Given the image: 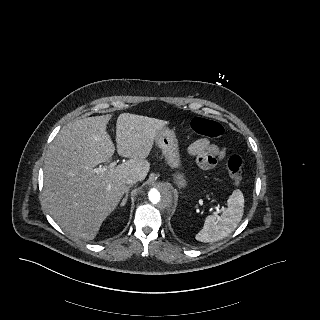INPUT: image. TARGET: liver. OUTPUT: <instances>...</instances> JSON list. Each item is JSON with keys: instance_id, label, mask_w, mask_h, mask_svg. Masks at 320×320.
Wrapping results in <instances>:
<instances>
[{"instance_id": "1", "label": "liver", "mask_w": 320, "mask_h": 320, "mask_svg": "<svg viewBox=\"0 0 320 320\" xmlns=\"http://www.w3.org/2000/svg\"><path fill=\"white\" fill-rule=\"evenodd\" d=\"M112 115L76 119L65 125L45 158L44 203L57 224L70 235L93 240L103 221L126 193V179L143 181L150 169L146 159L158 131L168 121L130 113L117 118L118 154L129 160L96 173L108 162L115 146L107 133Z\"/></svg>"}]
</instances>
